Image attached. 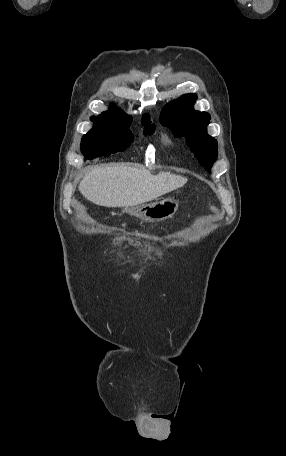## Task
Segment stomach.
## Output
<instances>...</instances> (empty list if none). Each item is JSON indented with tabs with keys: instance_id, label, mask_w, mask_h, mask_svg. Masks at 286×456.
Wrapping results in <instances>:
<instances>
[{
	"instance_id": "1",
	"label": "stomach",
	"mask_w": 286,
	"mask_h": 456,
	"mask_svg": "<svg viewBox=\"0 0 286 456\" xmlns=\"http://www.w3.org/2000/svg\"><path fill=\"white\" fill-rule=\"evenodd\" d=\"M179 202L173 198L144 205L138 210L141 219L147 222H159L171 218L178 210Z\"/></svg>"
}]
</instances>
